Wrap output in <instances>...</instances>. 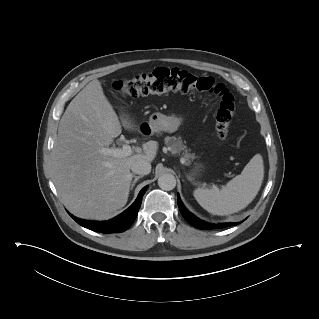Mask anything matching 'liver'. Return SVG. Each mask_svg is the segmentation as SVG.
Segmentation results:
<instances>
[{"label":"liver","mask_w":319,"mask_h":319,"mask_svg":"<svg viewBox=\"0 0 319 319\" xmlns=\"http://www.w3.org/2000/svg\"><path fill=\"white\" fill-rule=\"evenodd\" d=\"M122 125L133 130L122 116ZM122 132L99 80L89 82L70 102L58 127L52 151V176L57 192L74 215L93 220L111 218L128 201L133 175L131 164L152 162L157 142L149 141L132 156L115 158L101 153Z\"/></svg>","instance_id":"1"}]
</instances>
